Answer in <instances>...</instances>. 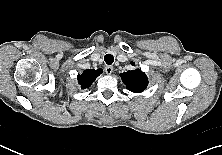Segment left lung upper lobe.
Instances as JSON below:
<instances>
[{
	"label": "left lung upper lobe",
	"mask_w": 222,
	"mask_h": 155,
	"mask_svg": "<svg viewBox=\"0 0 222 155\" xmlns=\"http://www.w3.org/2000/svg\"><path fill=\"white\" fill-rule=\"evenodd\" d=\"M134 65V62H131ZM126 88L134 93L143 92L148 85V78L140 69L127 71L120 74Z\"/></svg>",
	"instance_id": "left-lung-upper-lobe-1"
}]
</instances>
